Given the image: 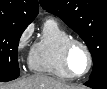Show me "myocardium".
<instances>
[{
    "label": "myocardium",
    "mask_w": 107,
    "mask_h": 89,
    "mask_svg": "<svg viewBox=\"0 0 107 89\" xmlns=\"http://www.w3.org/2000/svg\"><path fill=\"white\" fill-rule=\"evenodd\" d=\"M76 45H78L84 49V51L87 55V59H88L87 68L81 74L73 73V71L70 68V64H69L70 52H71L72 48ZM62 63H63L65 70L72 78H80V77L86 75L91 70L92 65H93V56H92V53H91L88 45L84 41L71 37L68 40H66L62 46Z\"/></svg>",
    "instance_id": "1"
}]
</instances>
